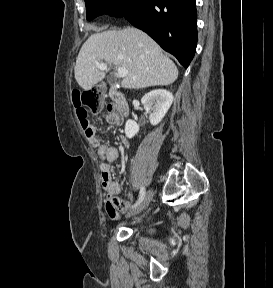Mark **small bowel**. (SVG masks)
Wrapping results in <instances>:
<instances>
[{
	"label": "small bowel",
	"mask_w": 273,
	"mask_h": 288,
	"mask_svg": "<svg viewBox=\"0 0 273 288\" xmlns=\"http://www.w3.org/2000/svg\"><path fill=\"white\" fill-rule=\"evenodd\" d=\"M104 119L108 124L115 126L120 125L123 121L117 116L115 108L111 105L108 107ZM84 133L90 143L97 148L98 155L102 160L100 164V179L102 188L106 193L105 210L111 219L116 220L118 219V211H125L130 205L129 201L118 198L121 192V185L113 179L111 174L110 164L118 158L119 150L116 147L101 143L97 138L94 126L90 125L87 129H84ZM123 143L126 144L125 138H123Z\"/></svg>",
	"instance_id": "1"
}]
</instances>
